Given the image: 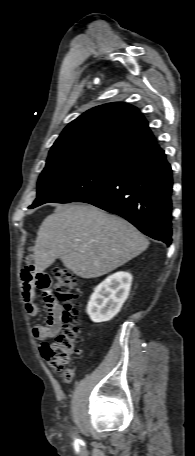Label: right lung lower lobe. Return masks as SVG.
I'll list each match as a JSON object with an SVG mask.
<instances>
[{
	"mask_svg": "<svg viewBox=\"0 0 195 456\" xmlns=\"http://www.w3.org/2000/svg\"><path fill=\"white\" fill-rule=\"evenodd\" d=\"M172 170L162 149L119 170L109 181L74 202L117 214L168 246L172 241Z\"/></svg>",
	"mask_w": 195,
	"mask_h": 456,
	"instance_id": "1",
	"label": "right lung lower lobe"
}]
</instances>
